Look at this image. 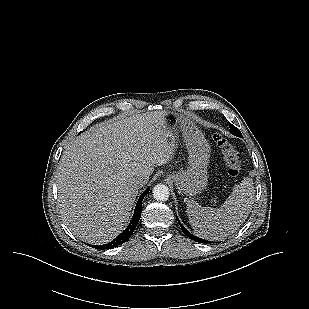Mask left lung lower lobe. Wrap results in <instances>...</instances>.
Masks as SVG:
<instances>
[{
  "label": "left lung lower lobe",
  "instance_id": "obj_1",
  "mask_svg": "<svg viewBox=\"0 0 309 309\" xmlns=\"http://www.w3.org/2000/svg\"><path fill=\"white\" fill-rule=\"evenodd\" d=\"M176 218H177V217H176ZM177 220H178V219H177ZM178 222H179V220H178ZM179 224H180V226H181V229H182L183 233H184L187 237H189L190 239H192V240H194V241H196V242H199V243H209V241H206V240H203V239H200V238L194 236V235L191 234L181 223H179Z\"/></svg>",
  "mask_w": 309,
  "mask_h": 309
}]
</instances>
